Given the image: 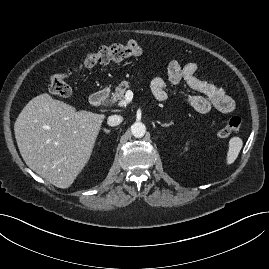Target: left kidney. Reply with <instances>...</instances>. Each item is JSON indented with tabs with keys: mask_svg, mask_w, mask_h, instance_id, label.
<instances>
[{
	"mask_svg": "<svg viewBox=\"0 0 269 269\" xmlns=\"http://www.w3.org/2000/svg\"><path fill=\"white\" fill-rule=\"evenodd\" d=\"M188 143H186L185 147H184V150L187 151L188 150Z\"/></svg>",
	"mask_w": 269,
	"mask_h": 269,
	"instance_id": "1",
	"label": "left kidney"
}]
</instances>
